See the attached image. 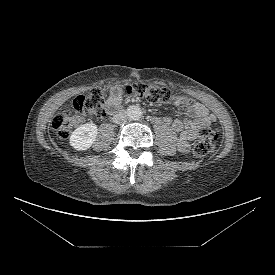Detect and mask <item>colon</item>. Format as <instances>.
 <instances>
[{"mask_svg":"<svg viewBox=\"0 0 275 275\" xmlns=\"http://www.w3.org/2000/svg\"><path fill=\"white\" fill-rule=\"evenodd\" d=\"M125 94L134 99H145L152 104L180 102L187 106H192L195 101L187 98H178L168 88L134 83L128 85ZM106 90L104 88H95L86 95L77 96L73 100L74 113L63 111L58 113L52 121V126L62 139L67 138L70 133L83 123V117L86 115L102 117L106 112ZM218 138L217 130L211 128L208 124L200 127L198 141L194 147V155L204 157L214 150V142Z\"/></svg>","mask_w":275,"mask_h":275,"instance_id":"5ec220e1","label":"colon"}]
</instances>
